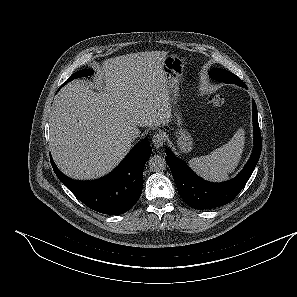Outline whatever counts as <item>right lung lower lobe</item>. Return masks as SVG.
<instances>
[{"instance_id":"right-lung-lower-lobe-1","label":"right lung lower lobe","mask_w":297,"mask_h":297,"mask_svg":"<svg viewBox=\"0 0 297 297\" xmlns=\"http://www.w3.org/2000/svg\"><path fill=\"white\" fill-rule=\"evenodd\" d=\"M152 153L149 142L138 143L106 177L96 181H76L65 176L51 164L59 180L86 206L109 215L127 212L142 193V174L145 163Z\"/></svg>"}]
</instances>
